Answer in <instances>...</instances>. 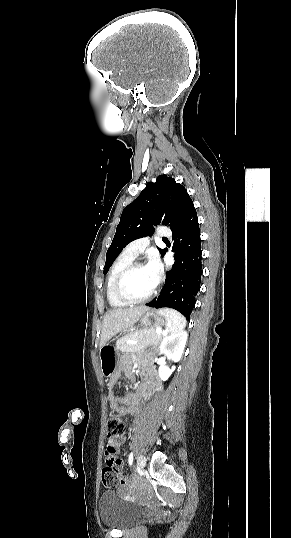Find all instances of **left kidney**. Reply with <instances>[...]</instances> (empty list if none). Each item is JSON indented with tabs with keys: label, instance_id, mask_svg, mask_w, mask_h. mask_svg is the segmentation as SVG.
I'll list each match as a JSON object with an SVG mask.
<instances>
[{
	"label": "left kidney",
	"instance_id": "left-kidney-1",
	"mask_svg": "<svg viewBox=\"0 0 291 538\" xmlns=\"http://www.w3.org/2000/svg\"><path fill=\"white\" fill-rule=\"evenodd\" d=\"M187 337L188 334L184 330L165 336L159 347L160 353L165 354L167 358L173 362L180 361L187 342ZM174 370L175 366L169 368L167 365L163 364L158 369L159 377L161 380L166 381Z\"/></svg>",
	"mask_w": 291,
	"mask_h": 538
}]
</instances>
